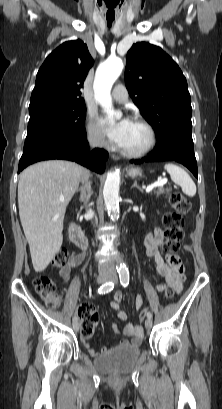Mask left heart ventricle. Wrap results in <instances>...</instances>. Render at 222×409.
Segmentation results:
<instances>
[{
  "label": "left heart ventricle",
  "mask_w": 222,
  "mask_h": 409,
  "mask_svg": "<svg viewBox=\"0 0 222 409\" xmlns=\"http://www.w3.org/2000/svg\"><path fill=\"white\" fill-rule=\"evenodd\" d=\"M148 140L149 135L147 130L140 124L131 122L126 131L121 148L134 151L140 150L147 145Z\"/></svg>",
  "instance_id": "obj_1"
}]
</instances>
